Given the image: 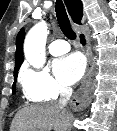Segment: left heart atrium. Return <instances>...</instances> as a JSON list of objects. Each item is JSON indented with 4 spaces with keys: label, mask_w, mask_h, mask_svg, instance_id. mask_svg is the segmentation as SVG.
<instances>
[{
    "label": "left heart atrium",
    "mask_w": 117,
    "mask_h": 131,
    "mask_svg": "<svg viewBox=\"0 0 117 131\" xmlns=\"http://www.w3.org/2000/svg\"><path fill=\"white\" fill-rule=\"evenodd\" d=\"M84 69V59L81 55L76 53L62 57L53 64L56 77L67 85L77 82L83 75Z\"/></svg>",
    "instance_id": "left-heart-atrium-1"
}]
</instances>
